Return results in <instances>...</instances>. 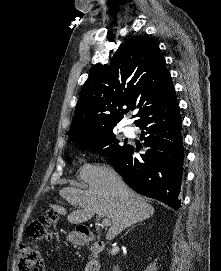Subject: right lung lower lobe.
Here are the masks:
<instances>
[{"label": "right lung lower lobe", "mask_w": 221, "mask_h": 271, "mask_svg": "<svg viewBox=\"0 0 221 271\" xmlns=\"http://www.w3.org/2000/svg\"><path fill=\"white\" fill-rule=\"evenodd\" d=\"M135 125L144 130L140 139L145 141L146 153L136 158L134 147L128 145L112 163L115 170L136 192L180 208L184 148L178 102L144 116Z\"/></svg>", "instance_id": "right-lung-lower-lobe-1"}]
</instances>
